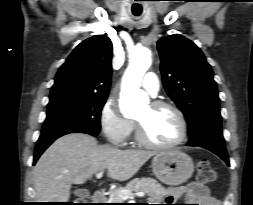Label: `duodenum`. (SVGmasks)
<instances>
[{"instance_id":"duodenum-1","label":"duodenum","mask_w":253,"mask_h":205,"mask_svg":"<svg viewBox=\"0 0 253 205\" xmlns=\"http://www.w3.org/2000/svg\"><path fill=\"white\" fill-rule=\"evenodd\" d=\"M93 200L96 203H102V202H104L106 200L105 193L102 190H97L93 194Z\"/></svg>"}]
</instances>
